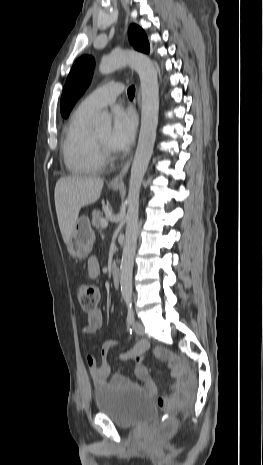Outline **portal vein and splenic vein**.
Returning a JSON list of instances; mask_svg holds the SVG:
<instances>
[{"mask_svg": "<svg viewBox=\"0 0 263 465\" xmlns=\"http://www.w3.org/2000/svg\"><path fill=\"white\" fill-rule=\"evenodd\" d=\"M102 227L106 228L108 226V221L106 219L101 220Z\"/></svg>", "mask_w": 263, "mask_h": 465, "instance_id": "obj_1", "label": "portal vein and splenic vein"}]
</instances>
